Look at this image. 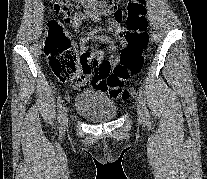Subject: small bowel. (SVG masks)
I'll use <instances>...</instances> for the list:
<instances>
[{
  "label": "small bowel",
  "mask_w": 207,
  "mask_h": 179,
  "mask_svg": "<svg viewBox=\"0 0 207 179\" xmlns=\"http://www.w3.org/2000/svg\"><path fill=\"white\" fill-rule=\"evenodd\" d=\"M109 16L112 17L108 31L112 32L116 37H119L122 39L123 33H124V28L121 26L120 22L123 18V11L116 5L112 6L111 10L108 12ZM89 19L95 22H100L102 21L101 14L96 12V11H87L86 13L77 16L73 19L72 21V26L75 30L79 31L81 35V41L84 44L90 39L96 38L99 34L98 30H82V23L84 20ZM104 40L108 41V38L103 37ZM112 48L110 49V51ZM92 56L98 57V58H103V52L102 51H94L91 53ZM116 59V58H115ZM85 86L84 83L78 84V88H83Z\"/></svg>",
  "instance_id": "c3829d8e"
}]
</instances>
